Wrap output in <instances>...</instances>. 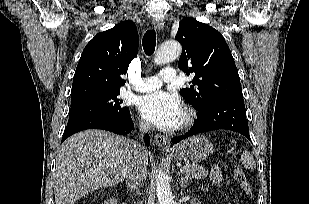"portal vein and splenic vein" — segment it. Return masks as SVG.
Masks as SVG:
<instances>
[{
  "instance_id": "obj_1",
  "label": "portal vein and splenic vein",
  "mask_w": 309,
  "mask_h": 204,
  "mask_svg": "<svg viewBox=\"0 0 309 204\" xmlns=\"http://www.w3.org/2000/svg\"><path fill=\"white\" fill-rule=\"evenodd\" d=\"M180 171H181V172H184V171H185V167L181 168Z\"/></svg>"
}]
</instances>
